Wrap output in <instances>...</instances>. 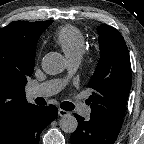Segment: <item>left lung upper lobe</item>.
<instances>
[{
	"label": "left lung upper lobe",
	"instance_id": "1",
	"mask_svg": "<svg viewBox=\"0 0 144 144\" xmlns=\"http://www.w3.org/2000/svg\"><path fill=\"white\" fill-rule=\"evenodd\" d=\"M98 33L101 57L89 82L90 117L120 130L132 82L129 52L115 28L101 25Z\"/></svg>",
	"mask_w": 144,
	"mask_h": 144
}]
</instances>
